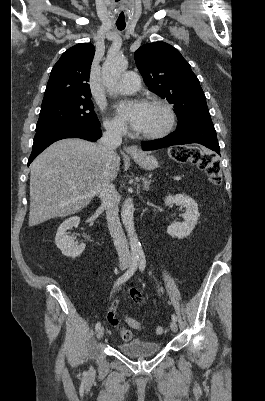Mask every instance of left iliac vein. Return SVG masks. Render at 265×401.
<instances>
[{
	"label": "left iliac vein",
	"mask_w": 265,
	"mask_h": 401,
	"mask_svg": "<svg viewBox=\"0 0 265 401\" xmlns=\"http://www.w3.org/2000/svg\"><path fill=\"white\" fill-rule=\"evenodd\" d=\"M170 328H171V330L175 333V332H177V329H178V326H177V323H176V321H171L170 322Z\"/></svg>",
	"instance_id": "1"
}]
</instances>
